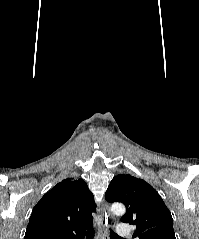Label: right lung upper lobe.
Returning a JSON list of instances; mask_svg holds the SVG:
<instances>
[{"instance_id":"1","label":"right lung upper lobe","mask_w":199,"mask_h":239,"mask_svg":"<svg viewBox=\"0 0 199 239\" xmlns=\"http://www.w3.org/2000/svg\"><path fill=\"white\" fill-rule=\"evenodd\" d=\"M94 196L82 179L67 178L33 208L25 239H78L92 227Z\"/></svg>"}]
</instances>
